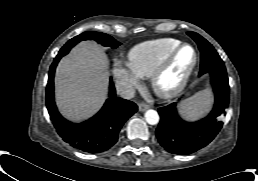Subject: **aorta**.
Masks as SVG:
<instances>
[{
	"instance_id": "1",
	"label": "aorta",
	"mask_w": 258,
	"mask_h": 181,
	"mask_svg": "<svg viewBox=\"0 0 258 181\" xmlns=\"http://www.w3.org/2000/svg\"><path fill=\"white\" fill-rule=\"evenodd\" d=\"M144 117L146 122L150 125H156L159 122V115L155 110H152V109L147 110L145 112Z\"/></svg>"
}]
</instances>
